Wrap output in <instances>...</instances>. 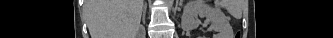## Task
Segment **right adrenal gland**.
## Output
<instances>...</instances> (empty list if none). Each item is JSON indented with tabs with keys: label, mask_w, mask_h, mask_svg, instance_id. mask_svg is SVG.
Segmentation results:
<instances>
[{
	"label": "right adrenal gland",
	"mask_w": 333,
	"mask_h": 38,
	"mask_svg": "<svg viewBox=\"0 0 333 38\" xmlns=\"http://www.w3.org/2000/svg\"><path fill=\"white\" fill-rule=\"evenodd\" d=\"M146 11H147V4H144V7H143V16H142V19L144 20L145 17H146Z\"/></svg>",
	"instance_id": "2a0ac1e0"
}]
</instances>
